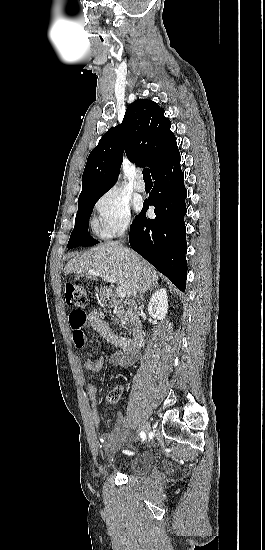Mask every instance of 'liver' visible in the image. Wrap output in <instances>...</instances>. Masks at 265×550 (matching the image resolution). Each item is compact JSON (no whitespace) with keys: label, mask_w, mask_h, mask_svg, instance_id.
<instances>
[{"label":"liver","mask_w":265,"mask_h":550,"mask_svg":"<svg viewBox=\"0 0 265 550\" xmlns=\"http://www.w3.org/2000/svg\"><path fill=\"white\" fill-rule=\"evenodd\" d=\"M91 271L112 277L128 297L135 291L144 293L158 280L149 262L117 243H103L75 256L67 262L64 274L76 273L96 280L98 276L91 275Z\"/></svg>","instance_id":"1"}]
</instances>
